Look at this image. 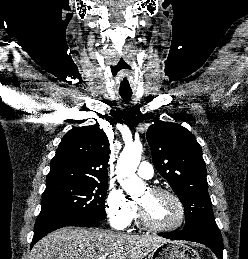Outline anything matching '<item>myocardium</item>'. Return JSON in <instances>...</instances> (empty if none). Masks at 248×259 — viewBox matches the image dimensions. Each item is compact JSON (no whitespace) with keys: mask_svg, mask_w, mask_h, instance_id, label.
Instances as JSON below:
<instances>
[{"mask_svg":"<svg viewBox=\"0 0 248 259\" xmlns=\"http://www.w3.org/2000/svg\"><path fill=\"white\" fill-rule=\"evenodd\" d=\"M148 190L151 193H162V194H166V195L170 196L178 206L179 217H178L177 222L173 225L158 226V225L153 224L148 219L146 212H145L144 208L142 207V205L137 203V216H138L139 223L143 227L147 228L148 230L158 232V233H169V232H173V231H176L177 229H179L182 226V224L184 223V220L186 217L185 206H184L182 200L180 199V197L173 190L166 188V187H162V186H152Z\"/></svg>","mask_w":248,"mask_h":259,"instance_id":"1","label":"myocardium"}]
</instances>
